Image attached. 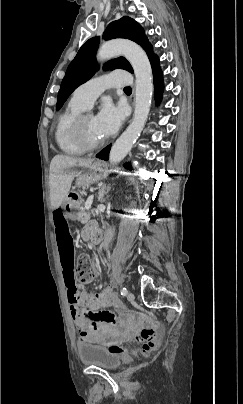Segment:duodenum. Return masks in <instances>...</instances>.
<instances>
[{"label":"duodenum","mask_w":243,"mask_h":404,"mask_svg":"<svg viewBox=\"0 0 243 404\" xmlns=\"http://www.w3.org/2000/svg\"><path fill=\"white\" fill-rule=\"evenodd\" d=\"M77 199V195L75 193H70L67 197V201L69 204L73 203ZM102 240V234L98 229H93L91 231V242L96 245L99 244Z\"/></svg>","instance_id":"obj_1"}]
</instances>
